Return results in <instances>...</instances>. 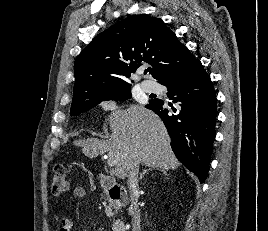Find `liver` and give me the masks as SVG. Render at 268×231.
Segmentation results:
<instances>
[{
  "instance_id": "obj_1",
  "label": "liver",
  "mask_w": 268,
  "mask_h": 231,
  "mask_svg": "<svg viewBox=\"0 0 268 231\" xmlns=\"http://www.w3.org/2000/svg\"><path fill=\"white\" fill-rule=\"evenodd\" d=\"M111 136L106 140L88 138L76 141L85 155L93 158L99 154L114 153L119 160L114 174L125 179L132 164H144L165 170H175L180 165L175 157L171 139L161 119L142 105H130L127 109L110 114Z\"/></svg>"
}]
</instances>
